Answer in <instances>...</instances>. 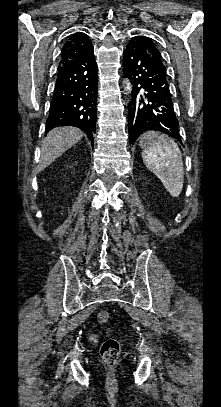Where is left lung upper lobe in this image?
Masks as SVG:
<instances>
[{
  "label": "left lung upper lobe",
  "mask_w": 221,
  "mask_h": 407,
  "mask_svg": "<svg viewBox=\"0 0 221 407\" xmlns=\"http://www.w3.org/2000/svg\"><path fill=\"white\" fill-rule=\"evenodd\" d=\"M139 41L146 44L147 47L149 48V52H150V56L157 61L158 63H160L161 65H163L162 62V56L160 51L156 48L155 44L153 43V41L145 36H138ZM164 66V65H163Z\"/></svg>",
  "instance_id": "left-lung-upper-lobe-1"
}]
</instances>
